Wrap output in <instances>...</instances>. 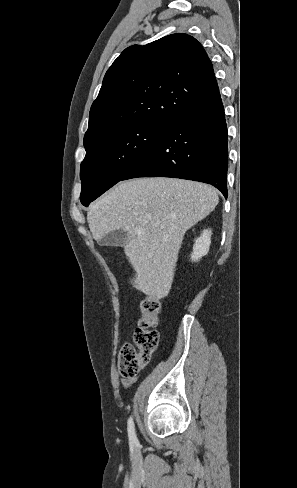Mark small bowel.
<instances>
[{"instance_id":"c3829d8e","label":"small bowel","mask_w":297,"mask_h":488,"mask_svg":"<svg viewBox=\"0 0 297 488\" xmlns=\"http://www.w3.org/2000/svg\"><path fill=\"white\" fill-rule=\"evenodd\" d=\"M137 378H126V377H123L121 379V383L122 385L125 387V388H128L130 387L131 385H133L135 382H136Z\"/></svg>"}]
</instances>
